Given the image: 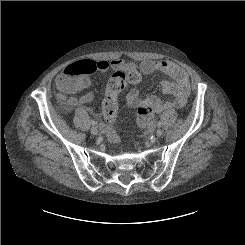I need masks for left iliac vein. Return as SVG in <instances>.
Returning <instances> with one entry per match:
<instances>
[{
	"label": "left iliac vein",
	"instance_id": "obj_1",
	"mask_svg": "<svg viewBox=\"0 0 245 245\" xmlns=\"http://www.w3.org/2000/svg\"><path fill=\"white\" fill-rule=\"evenodd\" d=\"M162 134H163V130H162V129H158V130L156 131V136H157V137H161Z\"/></svg>",
	"mask_w": 245,
	"mask_h": 245
}]
</instances>
